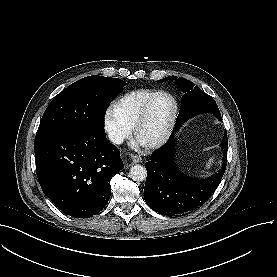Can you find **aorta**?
<instances>
[{
    "label": "aorta",
    "instance_id": "obj_1",
    "mask_svg": "<svg viewBox=\"0 0 277 277\" xmlns=\"http://www.w3.org/2000/svg\"><path fill=\"white\" fill-rule=\"evenodd\" d=\"M129 174L132 180L142 182L147 177V170L144 166L136 164L130 168Z\"/></svg>",
    "mask_w": 277,
    "mask_h": 277
}]
</instances>
